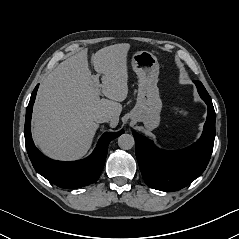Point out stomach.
Segmentation results:
<instances>
[{
	"label": "stomach",
	"mask_w": 239,
	"mask_h": 239,
	"mask_svg": "<svg viewBox=\"0 0 239 239\" xmlns=\"http://www.w3.org/2000/svg\"><path fill=\"white\" fill-rule=\"evenodd\" d=\"M132 67L139 78V85L137 102L130 118L134 122H143L147 130H152L160 123L162 109L157 87L159 63L151 52L139 51L132 56Z\"/></svg>",
	"instance_id": "1"
}]
</instances>
